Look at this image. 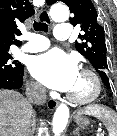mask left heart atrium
<instances>
[{
  "label": "left heart atrium",
  "mask_w": 117,
  "mask_h": 136,
  "mask_svg": "<svg viewBox=\"0 0 117 136\" xmlns=\"http://www.w3.org/2000/svg\"><path fill=\"white\" fill-rule=\"evenodd\" d=\"M29 69L44 86L62 92H70L79 75L74 57L60 49L33 57Z\"/></svg>",
  "instance_id": "left-heart-atrium-1"
}]
</instances>
